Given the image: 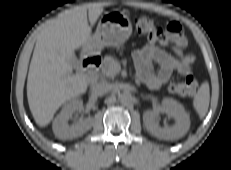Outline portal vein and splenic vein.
Returning a JSON list of instances; mask_svg holds the SVG:
<instances>
[{"label": "portal vein and splenic vein", "instance_id": "18ae733b", "mask_svg": "<svg viewBox=\"0 0 231 170\" xmlns=\"http://www.w3.org/2000/svg\"><path fill=\"white\" fill-rule=\"evenodd\" d=\"M112 68H113L114 70H116V71H120L121 66H120L118 63H116V64H114V65L112 66Z\"/></svg>", "mask_w": 231, "mask_h": 170}]
</instances>
